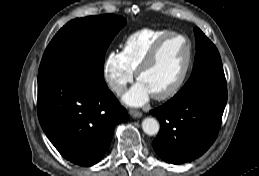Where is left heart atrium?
Instances as JSON below:
<instances>
[{"label": "left heart atrium", "mask_w": 259, "mask_h": 176, "mask_svg": "<svg viewBox=\"0 0 259 176\" xmlns=\"http://www.w3.org/2000/svg\"><path fill=\"white\" fill-rule=\"evenodd\" d=\"M151 95L148 88L142 82L138 81L125 93L123 101L130 106L139 107L147 103Z\"/></svg>", "instance_id": "left-heart-atrium-1"}]
</instances>
